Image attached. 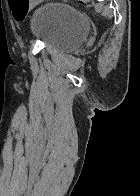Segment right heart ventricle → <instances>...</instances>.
Here are the masks:
<instances>
[{
    "instance_id": "e07e8e85",
    "label": "right heart ventricle",
    "mask_w": 140,
    "mask_h": 196,
    "mask_svg": "<svg viewBox=\"0 0 140 196\" xmlns=\"http://www.w3.org/2000/svg\"><path fill=\"white\" fill-rule=\"evenodd\" d=\"M0 192H33V191H0Z\"/></svg>"
}]
</instances>
